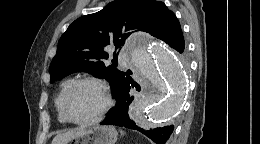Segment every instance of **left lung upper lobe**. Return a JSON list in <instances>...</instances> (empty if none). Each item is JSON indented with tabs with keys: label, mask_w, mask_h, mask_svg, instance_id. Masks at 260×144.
<instances>
[{
	"label": "left lung upper lobe",
	"mask_w": 260,
	"mask_h": 144,
	"mask_svg": "<svg viewBox=\"0 0 260 144\" xmlns=\"http://www.w3.org/2000/svg\"><path fill=\"white\" fill-rule=\"evenodd\" d=\"M131 30L147 32L168 43L181 26L175 14L161 1L110 2L101 11L75 20L61 36L50 65V82L85 71L106 79L114 94L125 74L113 64L105 65L109 55L104 48L110 44L121 47Z\"/></svg>",
	"instance_id": "left-lung-upper-lobe-1"
}]
</instances>
